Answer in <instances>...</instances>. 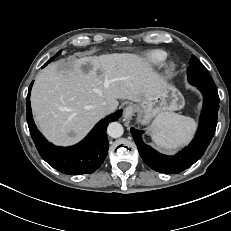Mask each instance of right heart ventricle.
<instances>
[{
	"instance_id": "obj_1",
	"label": "right heart ventricle",
	"mask_w": 231,
	"mask_h": 231,
	"mask_svg": "<svg viewBox=\"0 0 231 231\" xmlns=\"http://www.w3.org/2000/svg\"><path fill=\"white\" fill-rule=\"evenodd\" d=\"M168 54L161 49L147 51L142 58L141 64L146 69L158 68L166 61Z\"/></svg>"
}]
</instances>
